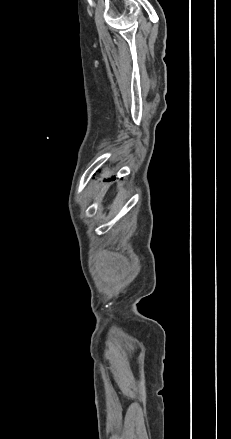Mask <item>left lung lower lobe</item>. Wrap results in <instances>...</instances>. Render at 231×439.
Returning a JSON list of instances; mask_svg holds the SVG:
<instances>
[{"label":"left lung lower lobe","instance_id":"obj_1","mask_svg":"<svg viewBox=\"0 0 231 439\" xmlns=\"http://www.w3.org/2000/svg\"><path fill=\"white\" fill-rule=\"evenodd\" d=\"M114 179H115V176L111 177L108 181H110V180H114Z\"/></svg>","mask_w":231,"mask_h":439}]
</instances>
